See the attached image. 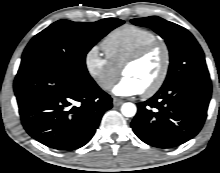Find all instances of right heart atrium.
<instances>
[{"instance_id":"d8ad5b80","label":"right heart atrium","mask_w":220,"mask_h":173,"mask_svg":"<svg viewBox=\"0 0 220 173\" xmlns=\"http://www.w3.org/2000/svg\"><path fill=\"white\" fill-rule=\"evenodd\" d=\"M84 67L89 77L103 91L110 90L120 75V69L104 57L97 46L86 51Z\"/></svg>"}]
</instances>
